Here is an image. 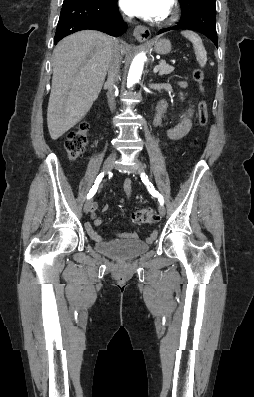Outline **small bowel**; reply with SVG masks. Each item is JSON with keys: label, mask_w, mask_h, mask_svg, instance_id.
Returning a JSON list of instances; mask_svg holds the SVG:
<instances>
[{"label": "small bowel", "mask_w": 254, "mask_h": 397, "mask_svg": "<svg viewBox=\"0 0 254 397\" xmlns=\"http://www.w3.org/2000/svg\"><path fill=\"white\" fill-rule=\"evenodd\" d=\"M181 87L185 88L186 83L181 82L180 83ZM182 97L185 96V94H181ZM168 103L166 100H162L157 107V112L156 116L154 119L155 125H158L161 122V119L167 109ZM193 116V107L192 105L189 107L187 110L186 114L183 116L179 124L173 128H171L168 131V136L172 140H179L182 137H184L190 130L191 128V118ZM124 192L127 196L128 199L131 197V180L129 178H126L124 180ZM98 206L97 204H92L91 209H90V215H91V220L87 221L85 223V229L89 235V237L94 240V241H102L103 238L98 234V232L94 229L93 226H99L102 223V217L97 216ZM107 210V206L104 207L103 211ZM121 238H127V239H136L138 237L137 233L135 232H126V233H120L118 235ZM157 232H153L150 237L147 239L148 241H152L156 238Z\"/></svg>", "instance_id": "small-bowel-1"}]
</instances>
